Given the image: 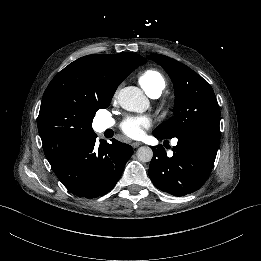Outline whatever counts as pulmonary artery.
<instances>
[{
    "instance_id": "pulmonary-artery-1",
    "label": "pulmonary artery",
    "mask_w": 261,
    "mask_h": 261,
    "mask_svg": "<svg viewBox=\"0 0 261 261\" xmlns=\"http://www.w3.org/2000/svg\"><path fill=\"white\" fill-rule=\"evenodd\" d=\"M159 96H160L159 93H153V94L150 95V97H151L152 99H156V98H158ZM113 124H114V121H113V120H108V121L106 122V125H107L108 127L112 126ZM172 144H173V145H176V144H177V139H176V138L173 139Z\"/></svg>"
}]
</instances>
